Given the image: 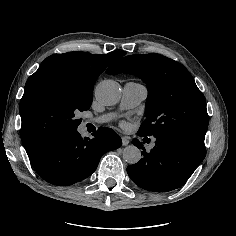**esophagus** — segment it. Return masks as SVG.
<instances>
[{"instance_id": "1", "label": "esophagus", "mask_w": 236, "mask_h": 236, "mask_svg": "<svg viewBox=\"0 0 236 236\" xmlns=\"http://www.w3.org/2000/svg\"><path fill=\"white\" fill-rule=\"evenodd\" d=\"M121 139L124 146L128 145L130 142L127 136H123Z\"/></svg>"}]
</instances>
